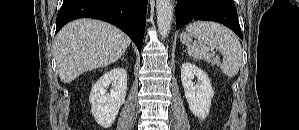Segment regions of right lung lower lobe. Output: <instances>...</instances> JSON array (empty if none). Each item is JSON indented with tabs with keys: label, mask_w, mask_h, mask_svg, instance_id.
Returning <instances> with one entry per match:
<instances>
[{
	"label": "right lung lower lobe",
	"mask_w": 299,
	"mask_h": 130,
	"mask_svg": "<svg viewBox=\"0 0 299 130\" xmlns=\"http://www.w3.org/2000/svg\"><path fill=\"white\" fill-rule=\"evenodd\" d=\"M148 0H63L57 15L56 32L78 18H95L123 30L141 52Z\"/></svg>",
	"instance_id": "right-lung-lower-lobe-1"
}]
</instances>
